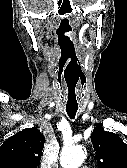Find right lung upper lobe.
<instances>
[{
  "mask_svg": "<svg viewBox=\"0 0 127 168\" xmlns=\"http://www.w3.org/2000/svg\"><path fill=\"white\" fill-rule=\"evenodd\" d=\"M44 142L36 127L16 133L0 147V168H39Z\"/></svg>",
  "mask_w": 127,
  "mask_h": 168,
  "instance_id": "obj_1",
  "label": "right lung upper lobe"
}]
</instances>
